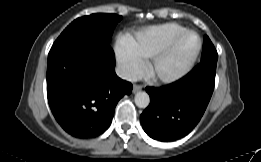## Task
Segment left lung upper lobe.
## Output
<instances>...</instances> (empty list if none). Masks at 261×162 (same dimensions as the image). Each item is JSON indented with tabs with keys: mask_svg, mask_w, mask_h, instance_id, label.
Returning <instances> with one entry per match:
<instances>
[{
	"mask_svg": "<svg viewBox=\"0 0 261 162\" xmlns=\"http://www.w3.org/2000/svg\"><path fill=\"white\" fill-rule=\"evenodd\" d=\"M217 58H218V54H217V51H216L214 45L212 44V42L208 36H204V44H203V52H202L201 61L206 60V59L217 60Z\"/></svg>",
	"mask_w": 261,
	"mask_h": 162,
	"instance_id": "obj_1",
	"label": "left lung upper lobe"
}]
</instances>
